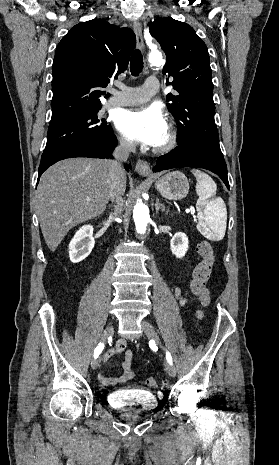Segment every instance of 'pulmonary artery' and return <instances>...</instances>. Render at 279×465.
Wrapping results in <instances>:
<instances>
[{
	"label": "pulmonary artery",
	"instance_id": "1",
	"mask_svg": "<svg viewBox=\"0 0 279 465\" xmlns=\"http://www.w3.org/2000/svg\"><path fill=\"white\" fill-rule=\"evenodd\" d=\"M158 89L157 78L149 77L140 87H125L121 91H113L108 106H129L146 102L158 92Z\"/></svg>",
	"mask_w": 279,
	"mask_h": 465
}]
</instances>
